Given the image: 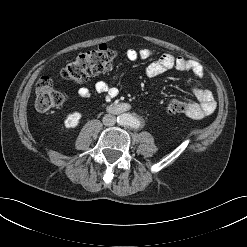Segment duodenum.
Returning <instances> with one entry per match:
<instances>
[{"label": "duodenum", "mask_w": 247, "mask_h": 247, "mask_svg": "<svg viewBox=\"0 0 247 247\" xmlns=\"http://www.w3.org/2000/svg\"><path fill=\"white\" fill-rule=\"evenodd\" d=\"M131 106L128 103H121L111 107V111L115 114H120L126 111H129Z\"/></svg>", "instance_id": "duodenum-1"}]
</instances>
